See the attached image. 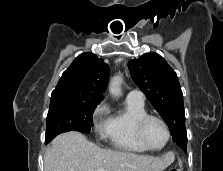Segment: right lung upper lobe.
Here are the masks:
<instances>
[{"mask_svg": "<svg viewBox=\"0 0 223 171\" xmlns=\"http://www.w3.org/2000/svg\"><path fill=\"white\" fill-rule=\"evenodd\" d=\"M109 66L93 53L80 54L65 70L51 101L79 99L101 102L108 85Z\"/></svg>", "mask_w": 223, "mask_h": 171, "instance_id": "cb5924a9", "label": "right lung upper lobe"}]
</instances>
